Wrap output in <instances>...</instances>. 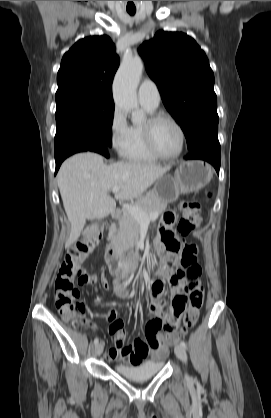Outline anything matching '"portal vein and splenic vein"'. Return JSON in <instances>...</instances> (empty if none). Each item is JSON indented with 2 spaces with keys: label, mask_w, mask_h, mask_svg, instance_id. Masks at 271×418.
<instances>
[{
  "label": "portal vein and splenic vein",
  "mask_w": 271,
  "mask_h": 418,
  "mask_svg": "<svg viewBox=\"0 0 271 418\" xmlns=\"http://www.w3.org/2000/svg\"><path fill=\"white\" fill-rule=\"evenodd\" d=\"M111 190L113 193H118L120 190V187L116 186V187H113ZM123 208L126 211H128L140 223H149L151 220H154L158 217L157 213L154 212V213L148 214L144 210H142L141 208L135 205L123 204Z\"/></svg>",
  "instance_id": "portal-vein-and-splenic-vein-1"
}]
</instances>
